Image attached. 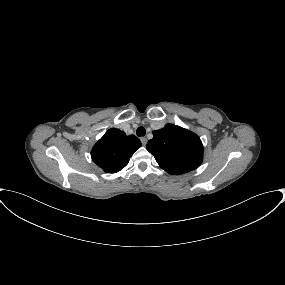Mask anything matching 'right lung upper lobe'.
<instances>
[{
	"instance_id": "obj_1",
	"label": "right lung upper lobe",
	"mask_w": 285,
	"mask_h": 285,
	"mask_svg": "<svg viewBox=\"0 0 285 285\" xmlns=\"http://www.w3.org/2000/svg\"><path fill=\"white\" fill-rule=\"evenodd\" d=\"M139 147L141 142L136 136H127L123 131L111 128L94 145L91 157L105 172L116 173L128 164Z\"/></svg>"
}]
</instances>
